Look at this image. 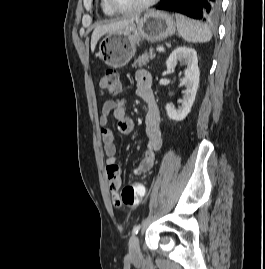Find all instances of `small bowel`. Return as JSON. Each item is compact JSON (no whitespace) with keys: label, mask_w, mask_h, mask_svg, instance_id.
Masks as SVG:
<instances>
[{"label":"small bowel","mask_w":265,"mask_h":269,"mask_svg":"<svg viewBox=\"0 0 265 269\" xmlns=\"http://www.w3.org/2000/svg\"><path fill=\"white\" fill-rule=\"evenodd\" d=\"M137 87L136 94L146 104V115L144 129L146 144L143 149L142 159L134 170V174L139 175L148 172L155 160V155L162 147L163 143V124L160 112L156 103L152 88V79L145 70L136 73ZM126 100L117 98L103 103L99 124L103 139L104 151L106 154V177L109 189L112 193L113 202L118 203V190L121 186V169L116 163L117 147L113 130L109 127V117L113 114L117 120L118 131L121 134H129L133 130V121L126 115Z\"/></svg>","instance_id":"small-bowel-1"}]
</instances>
